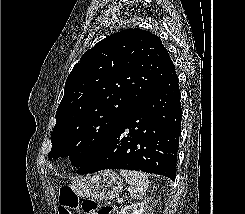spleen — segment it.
<instances>
[{
	"label": "spleen",
	"mask_w": 245,
	"mask_h": 214,
	"mask_svg": "<svg viewBox=\"0 0 245 214\" xmlns=\"http://www.w3.org/2000/svg\"><path fill=\"white\" fill-rule=\"evenodd\" d=\"M120 174L130 184L128 191L133 199H141L149 186L147 174L133 170H121Z\"/></svg>",
	"instance_id": "obj_1"
}]
</instances>
